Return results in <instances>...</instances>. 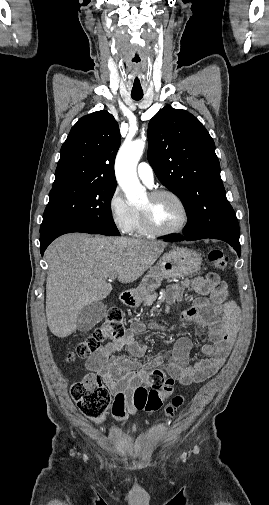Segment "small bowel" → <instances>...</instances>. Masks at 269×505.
Instances as JSON below:
<instances>
[{"mask_svg":"<svg viewBox=\"0 0 269 505\" xmlns=\"http://www.w3.org/2000/svg\"><path fill=\"white\" fill-rule=\"evenodd\" d=\"M198 293L181 316L184 324L195 323L206 332L209 342L202 345L200 351L206 357L189 364L192 342L187 337L177 340L168 361L170 376L182 385L201 383L224 364L239 326L240 310L229 298L227 284L217 274L195 278L190 283ZM182 298V289L173 285L168 289L169 301ZM146 328L164 330L156 322L147 325L133 322L126 333L96 351L86 362V368L99 377L113 396L112 414L119 422H126L129 416L137 413L133 402L135 389L140 386L151 368L163 363L164 357L158 356L143 367L141 361L146 357V348L136 341V336ZM126 349L133 358L115 357L114 354Z\"/></svg>","mask_w":269,"mask_h":505,"instance_id":"small-bowel-1","label":"small bowel"}]
</instances>
